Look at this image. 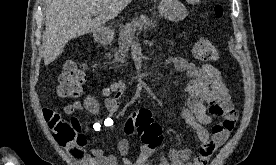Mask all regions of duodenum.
Wrapping results in <instances>:
<instances>
[{
  "instance_id": "obj_1",
  "label": "duodenum",
  "mask_w": 276,
  "mask_h": 165,
  "mask_svg": "<svg viewBox=\"0 0 276 165\" xmlns=\"http://www.w3.org/2000/svg\"><path fill=\"white\" fill-rule=\"evenodd\" d=\"M97 40L101 45H107L111 41V36L107 33L100 32L97 34Z\"/></svg>"
}]
</instances>
